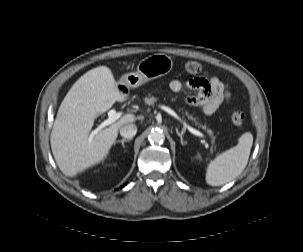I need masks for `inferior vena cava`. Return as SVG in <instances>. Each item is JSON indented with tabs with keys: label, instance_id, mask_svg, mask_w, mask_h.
<instances>
[{
	"label": "inferior vena cava",
	"instance_id": "602c4592",
	"mask_svg": "<svg viewBox=\"0 0 303 252\" xmlns=\"http://www.w3.org/2000/svg\"><path fill=\"white\" fill-rule=\"evenodd\" d=\"M136 133L137 127L133 123L125 124L120 128V134L125 138H132Z\"/></svg>",
	"mask_w": 303,
	"mask_h": 252
}]
</instances>
